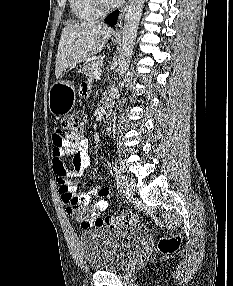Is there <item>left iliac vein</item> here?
<instances>
[{"instance_id": "obj_1", "label": "left iliac vein", "mask_w": 233, "mask_h": 286, "mask_svg": "<svg viewBox=\"0 0 233 286\" xmlns=\"http://www.w3.org/2000/svg\"><path fill=\"white\" fill-rule=\"evenodd\" d=\"M121 189L124 196L128 199H132L135 195V184L132 179L127 176L121 178Z\"/></svg>"}]
</instances>
